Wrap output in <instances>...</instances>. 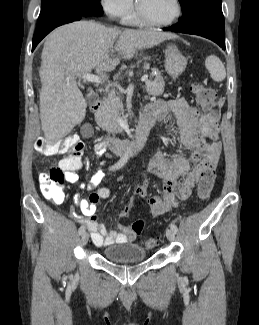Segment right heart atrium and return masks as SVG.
<instances>
[{"mask_svg": "<svg viewBox=\"0 0 259 325\" xmlns=\"http://www.w3.org/2000/svg\"><path fill=\"white\" fill-rule=\"evenodd\" d=\"M103 9L112 16L125 17L132 12L133 0H100Z\"/></svg>", "mask_w": 259, "mask_h": 325, "instance_id": "d8ad5b80", "label": "right heart atrium"}]
</instances>
